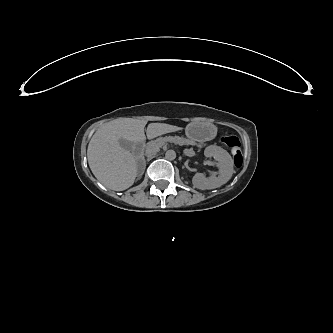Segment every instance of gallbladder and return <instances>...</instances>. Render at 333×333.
I'll return each mask as SVG.
<instances>
[{"instance_id": "bac80fb5", "label": "gallbladder", "mask_w": 333, "mask_h": 333, "mask_svg": "<svg viewBox=\"0 0 333 333\" xmlns=\"http://www.w3.org/2000/svg\"><path fill=\"white\" fill-rule=\"evenodd\" d=\"M120 145L124 149L129 150V151H133V149L135 148V144L130 141H127V140H121Z\"/></svg>"}]
</instances>
